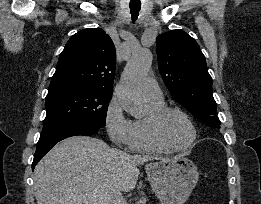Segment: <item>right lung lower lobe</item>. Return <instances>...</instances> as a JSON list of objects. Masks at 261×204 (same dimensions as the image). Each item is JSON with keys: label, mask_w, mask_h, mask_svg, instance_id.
<instances>
[{"label": "right lung lower lobe", "mask_w": 261, "mask_h": 204, "mask_svg": "<svg viewBox=\"0 0 261 204\" xmlns=\"http://www.w3.org/2000/svg\"><path fill=\"white\" fill-rule=\"evenodd\" d=\"M100 126L83 123L69 124L42 130L40 139L37 143L32 170L41 158L59 141L76 135L90 136L98 133Z\"/></svg>", "instance_id": "right-lung-lower-lobe-1"}]
</instances>
